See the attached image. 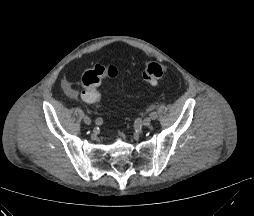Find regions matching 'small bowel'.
I'll return each mask as SVG.
<instances>
[{
  "label": "small bowel",
  "mask_w": 254,
  "mask_h": 216,
  "mask_svg": "<svg viewBox=\"0 0 254 216\" xmlns=\"http://www.w3.org/2000/svg\"><path fill=\"white\" fill-rule=\"evenodd\" d=\"M62 88L68 97L73 98V99L79 97V91L70 82L63 81ZM82 97H83V95H82ZM91 103H94V102H91Z\"/></svg>",
  "instance_id": "obj_1"
}]
</instances>
